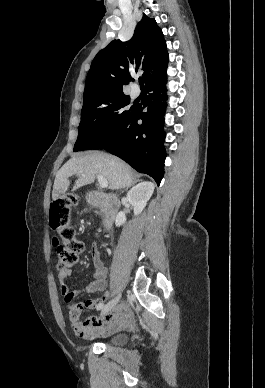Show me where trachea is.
I'll list each match as a JSON object with an SVG mask.
<instances>
[{"label": "trachea", "instance_id": "3493384b", "mask_svg": "<svg viewBox=\"0 0 265 388\" xmlns=\"http://www.w3.org/2000/svg\"><path fill=\"white\" fill-rule=\"evenodd\" d=\"M139 83H140V85H143L144 84V78H140L139 79Z\"/></svg>", "mask_w": 265, "mask_h": 388}]
</instances>
